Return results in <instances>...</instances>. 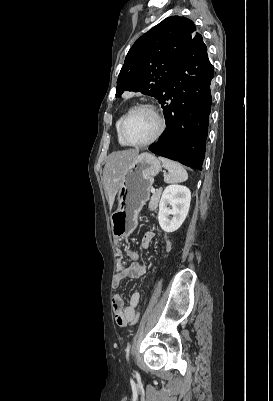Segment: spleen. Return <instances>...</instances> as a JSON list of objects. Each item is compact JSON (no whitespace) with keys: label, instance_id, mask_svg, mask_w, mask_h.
Segmentation results:
<instances>
[{"label":"spleen","instance_id":"1","mask_svg":"<svg viewBox=\"0 0 273 401\" xmlns=\"http://www.w3.org/2000/svg\"><path fill=\"white\" fill-rule=\"evenodd\" d=\"M158 158L162 160L164 168L169 170L168 174L164 176L165 182H183V180H187L188 174L180 162H174V160H169L164 156H158Z\"/></svg>","mask_w":273,"mask_h":401}]
</instances>
